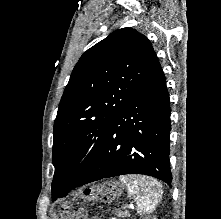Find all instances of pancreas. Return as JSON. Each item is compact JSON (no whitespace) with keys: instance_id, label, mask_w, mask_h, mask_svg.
Masks as SVG:
<instances>
[{"instance_id":"cf45deb5","label":"pancreas","mask_w":221,"mask_h":219,"mask_svg":"<svg viewBox=\"0 0 221 219\" xmlns=\"http://www.w3.org/2000/svg\"><path fill=\"white\" fill-rule=\"evenodd\" d=\"M114 214L120 218L129 217L130 213L127 210L116 209ZM116 219V218H112Z\"/></svg>"}]
</instances>
